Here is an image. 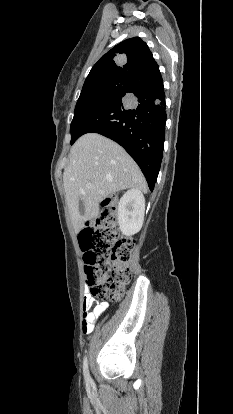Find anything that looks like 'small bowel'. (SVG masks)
<instances>
[{
  "label": "small bowel",
  "instance_id": "1",
  "mask_svg": "<svg viewBox=\"0 0 233 414\" xmlns=\"http://www.w3.org/2000/svg\"><path fill=\"white\" fill-rule=\"evenodd\" d=\"M85 296L83 300V322H82V330L84 334H90L95 326L96 320L104 313L107 309L108 304L105 302L97 304L94 308H92L94 299L93 297L88 294L90 289L85 286Z\"/></svg>",
  "mask_w": 233,
  "mask_h": 414
}]
</instances>
